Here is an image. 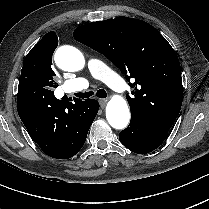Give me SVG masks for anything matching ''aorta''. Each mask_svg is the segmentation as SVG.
I'll return each instance as SVG.
<instances>
[{"instance_id": "1", "label": "aorta", "mask_w": 209, "mask_h": 209, "mask_svg": "<svg viewBox=\"0 0 209 209\" xmlns=\"http://www.w3.org/2000/svg\"><path fill=\"white\" fill-rule=\"evenodd\" d=\"M55 62L65 71H79L84 67L83 54L73 46H62L55 53ZM106 119L115 129H124L130 120V112L126 100L119 95L111 98L106 106Z\"/></svg>"}]
</instances>
